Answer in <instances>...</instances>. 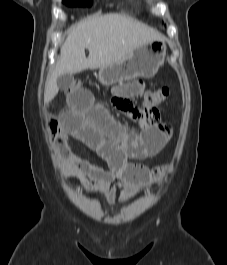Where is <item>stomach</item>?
Listing matches in <instances>:
<instances>
[{
  "label": "stomach",
  "instance_id": "1",
  "mask_svg": "<svg viewBox=\"0 0 227 265\" xmlns=\"http://www.w3.org/2000/svg\"><path fill=\"white\" fill-rule=\"evenodd\" d=\"M166 45L162 41H153L136 47L119 63L100 68L99 81L110 86L136 77L151 78L164 64Z\"/></svg>",
  "mask_w": 227,
  "mask_h": 265
}]
</instances>
